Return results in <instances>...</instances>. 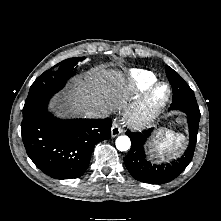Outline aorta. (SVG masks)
<instances>
[{
	"label": "aorta",
	"instance_id": "1",
	"mask_svg": "<svg viewBox=\"0 0 221 221\" xmlns=\"http://www.w3.org/2000/svg\"><path fill=\"white\" fill-rule=\"evenodd\" d=\"M131 146V141L128 136L122 135L116 139V148L119 151H127Z\"/></svg>",
	"mask_w": 221,
	"mask_h": 221
}]
</instances>
